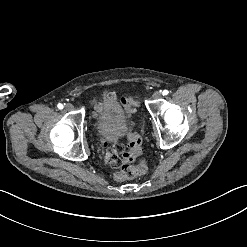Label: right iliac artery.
Returning a JSON list of instances; mask_svg holds the SVG:
<instances>
[{
	"instance_id": "obj_1",
	"label": "right iliac artery",
	"mask_w": 247,
	"mask_h": 247,
	"mask_svg": "<svg viewBox=\"0 0 247 247\" xmlns=\"http://www.w3.org/2000/svg\"><path fill=\"white\" fill-rule=\"evenodd\" d=\"M57 107L59 108V109H63V104H61V103H59L58 105H57Z\"/></svg>"
}]
</instances>
